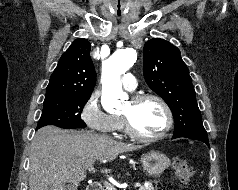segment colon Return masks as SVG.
I'll use <instances>...</instances> for the list:
<instances>
[{
    "label": "colon",
    "instance_id": "5ec220e1",
    "mask_svg": "<svg viewBox=\"0 0 238 190\" xmlns=\"http://www.w3.org/2000/svg\"><path fill=\"white\" fill-rule=\"evenodd\" d=\"M173 168L176 178L181 184H187L195 173L193 166L183 159H177L173 164Z\"/></svg>",
    "mask_w": 238,
    "mask_h": 190
}]
</instances>
